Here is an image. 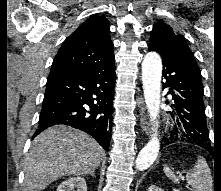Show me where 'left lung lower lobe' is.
<instances>
[{
    "mask_svg": "<svg viewBox=\"0 0 221 191\" xmlns=\"http://www.w3.org/2000/svg\"><path fill=\"white\" fill-rule=\"evenodd\" d=\"M149 51H157L162 57L163 88L169 87L176 110L175 115H172L176 125L165 138L166 145L175 142L198 145L203 143L209 132L204 111L201 72L192 51L187 43H180L176 49L168 52L151 46ZM201 147L209 151L211 148L208 145Z\"/></svg>",
    "mask_w": 221,
    "mask_h": 191,
    "instance_id": "0a47b994",
    "label": "left lung lower lobe"
}]
</instances>
